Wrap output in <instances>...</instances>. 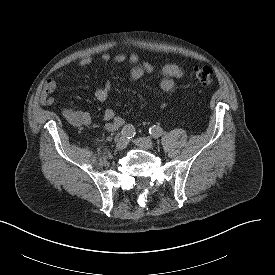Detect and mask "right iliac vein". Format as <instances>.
<instances>
[{
	"instance_id": "63e3f726",
	"label": "right iliac vein",
	"mask_w": 275,
	"mask_h": 275,
	"mask_svg": "<svg viewBox=\"0 0 275 275\" xmlns=\"http://www.w3.org/2000/svg\"><path fill=\"white\" fill-rule=\"evenodd\" d=\"M127 145H128V139L125 136H121L117 140L115 147L117 150H123L127 147Z\"/></svg>"
}]
</instances>
